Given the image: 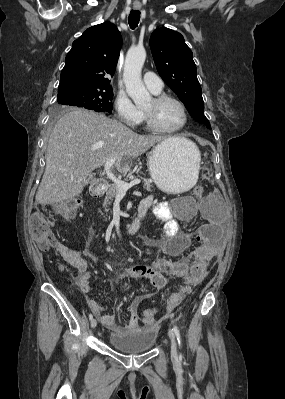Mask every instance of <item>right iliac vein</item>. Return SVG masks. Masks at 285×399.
<instances>
[{
	"label": "right iliac vein",
	"instance_id": "1",
	"mask_svg": "<svg viewBox=\"0 0 285 399\" xmlns=\"http://www.w3.org/2000/svg\"><path fill=\"white\" fill-rule=\"evenodd\" d=\"M97 326V321H96V319H92L91 320V327L92 328H95Z\"/></svg>",
	"mask_w": 285,
	"mask_h": 399
}]
</instances>
